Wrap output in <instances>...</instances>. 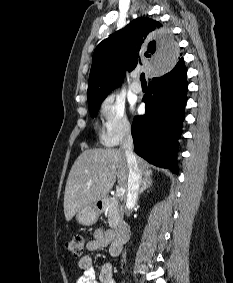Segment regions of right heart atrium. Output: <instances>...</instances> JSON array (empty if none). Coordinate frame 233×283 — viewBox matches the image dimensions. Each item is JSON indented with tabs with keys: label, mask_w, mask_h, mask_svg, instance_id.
Masks as SVG:
<instances>
[{
	"label": "right heart atrium",
	"mask_w": 233,
	"mask_h": 283,
	"mask_svg": "<svg viewBox=\"0 0 233 283\" xmlns=\"http://www.w3.org/2000/svg\"><path fill=\"white\" fill-rule=\"evenodd\" d=\"M102 120L100 138L106 146H116L131 133V123L124 104L113 96L106 97L100 104Z\"/></svg>",
	"instance_id": "d8ad5b80"
}]
</instances>
